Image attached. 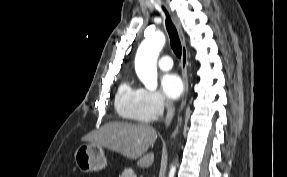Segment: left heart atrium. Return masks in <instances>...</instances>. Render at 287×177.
<instances>
[{
	"label": "left heart atrium",
	"mask_w": 287,
	"mask_h": 177,
	"mask_svg": "<svg viewBox=\"0 0 287 177\" xmlns=\"http://www.w3.org/2000/svg\"><path fill=\"white\" fill-rule=\"evenodd\" d=\"M161 88L167 99L176 100L184 91V82L179 75L167 73L161 79Z\"/></svg>",
	"instance_id": "1"
}]
</instances>
